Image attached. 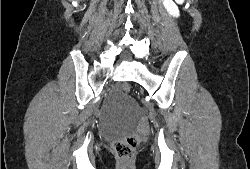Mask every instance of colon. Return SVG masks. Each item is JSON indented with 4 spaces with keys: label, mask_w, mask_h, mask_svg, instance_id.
Here are the masks:
<instances>
[{
    "label": "colon",
    "mask_w": 250,
    "mask_h": 169,
    "mask_svg": "<svg viewBox=\"0 0 250 169\" xmlns=\"http://www.w3.org/2000/svg\"><path fill=\"white\" fill-rule=\"evenodd\" d=\"M122 93H131V88L123 85ZM141 139L142 134H133L128 138H113V141H110L111 150L118 156L117 169H136L135 150Z\"/></svg>",
    "instance_id": "obj_1"
}]
</instances>
